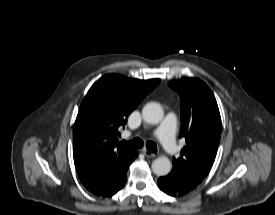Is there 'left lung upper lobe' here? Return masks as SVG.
Masks as SVG:
<instances>
[{"instance_id": "1", "label": "left lung upper lobe", "mask_w": 275, "mask_h": 215, "mask_svg": "<svg viewBox=\"0 0 275 215\" xmlns=\"http://www.w3.org/2000/svg\"><path fill=\"white\" fill-rule=\"evenodd\" d=\"M181 98L180 137L186 146L173 165L204 179L215 160L221 135V117L212 91L196 78L171 81Z\"/></svg>"}]
</instances>
